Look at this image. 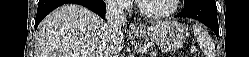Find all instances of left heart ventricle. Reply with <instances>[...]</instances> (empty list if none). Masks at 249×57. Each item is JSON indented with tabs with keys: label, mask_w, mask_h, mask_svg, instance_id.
Listing matches in <instances>:
<instances>
[{
	"label": "left heart ventricle",
	"mask_w": 249,
	"mask_h": 57,
	"mask_svg": "<svg viewBox=\"0 0 249 57\" xmlns=\"http://www.w3.org/2000/svg\"><path fill=\"white\" fill-rule=\"evenodd\" d=\"M142 4L146 11L150 13H160L171 8L172 0H143Z\"/></svg>",
	"instance_id": "obj_1"
}]
</instances>
